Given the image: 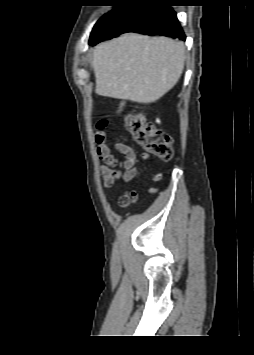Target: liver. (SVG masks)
I'll list each match as a JSON object with an SVG mask.
<instances>
[{
  "mask_svg": "<svg viewBox=\"0 0 254 355\" xmlns=\"http://www.w3.org/2000/svg\"><path fill=\"white\" fill-rule=\"evenodd\" d=\"M185 57L183 42L124 34L95 47V91L100 96L153 103L178 82Z\"/></svg>",
  "mask_w": 254,
  "mask_h": 355,
  "instance_id": "liver-1",
  "label": "liver"
}]
</instances>
